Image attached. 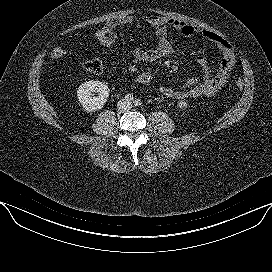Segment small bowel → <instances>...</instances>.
Wrapping results in <instances>:
<instances>
[{
  "label": "small bowel",
  "mask_w": 272,
  "mask_h": 272,
  "mask_svg": "<svg viewBox=\"0 0 272 272\" xmlns=\"http://www.w3.org/2000/svg\"><path fill=\"white\" fill-rule=\"evenodd\" d=\"M143 23L154 30L157 42L152 48L137 47L134 50V57L138 61L153 62L171 56L174 53V48L168 39L169 29L177 30L184 37L200 35L214 44L222 55L215 74L212 72L209 61L203 56H198L196 62L202 68L204 76L201 79L196 77L190 78L180 88L161 85L159 90L163 95L177 100L212 97L227 83L234 68L236 57L231 44L217 33L181 20L162 16L141 18L127 15L108 21L103 29L116 35L118 27Z\"/></svg>",
  "instance_id": "c3829d8e"
}]
</instances>
